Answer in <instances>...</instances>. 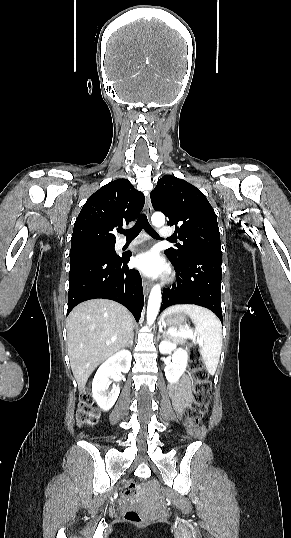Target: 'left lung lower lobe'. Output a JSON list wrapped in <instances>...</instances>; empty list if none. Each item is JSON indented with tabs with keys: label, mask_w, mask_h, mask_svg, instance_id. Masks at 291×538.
<instances>
[{
	"label": "left lung lower lobe",
	"mask_w": 291,
	"mask_h": 538,
	"mask_svg": "<svg viewBox=\"0 0 291 538\" xmlns=\"http://www.w3.org/2000/svg\"><path fill=\"white\" fill-rule=\"evenodd\" d=\"M170 261L177 281L163 290L160 313L175 304H195L212 310L222 322L221 253L197 252L181 261Z\"/></svg>",
	"instance_id": "0a47b994"
}]
</instances>
